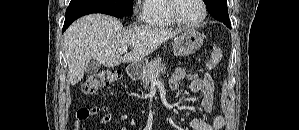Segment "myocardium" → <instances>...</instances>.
<instances>
[{"label": "myocardium", "instance_id": "f54148a6", "mask_svg": "<svg viewBox=\"0 0 299 130\" xmlns=\"http://www.w3.org/2000/svg\"><path fill=\"white\" fill-rule=\"evenodd\" d=\"M176 1L177 0H168L169 15L176 24L187 28H193L201 25L204 22L207 16V6L204 0H198L202 8V14L198 20L193 22H187L179 18V16L176 13V7H175Z\"/></svg>", "mask_w": 299, "mask_h": 130}]
</instances>
